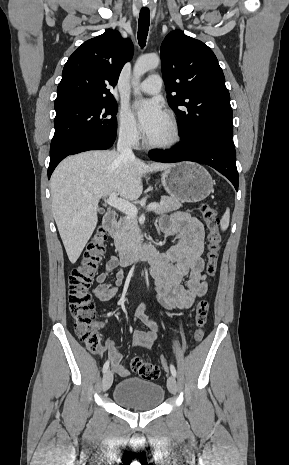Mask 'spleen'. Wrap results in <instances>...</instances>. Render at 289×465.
I'll list each match as a JSON object with an SVG mask.
<instances>
[{
	"instance_id": "1",
	"label": "spleen",
	"mask_w": 289,
	"mask_h": 465,
	"mask_svg": "<svg viewBox=\"0 0 289 465\" xmlns=\"http://www.w3.org/2000/svg\"><path fill=\"white\" fill-rule=\"evenodd\" d=\"M229 221H230V209L227 208L220 221L221 230L225 231L228 228Z\"/></svg>"
}]
</instances>
